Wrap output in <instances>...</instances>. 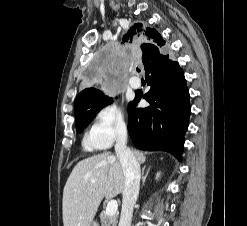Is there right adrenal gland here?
I'll return each instance as SVG.
<instances>
[{
  "label": "right adrenal gland",
  "mask_w": 247,
  "mask_h": 226,
  "mask_svg": "<svg viewBox=\"0 0 247 226\" xmlns=\"http://www.w3.org/2000/svg\"><path fill=\"white\" fill-rule=\"evenodd\" d=\"M145 169H146V166H144L143 169H142V185L145 184L146 177H147L148 172H149V169H148L147 173L145 174Z\"/></svg>",
  "instance_id": "obj_1"
}]
</instances>
